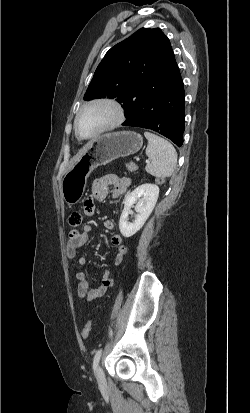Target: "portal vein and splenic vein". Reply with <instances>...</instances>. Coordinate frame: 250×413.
<instances>
[{"label":"portal vein and splenic vein","instance_id":"18ae733b","mask_svg":"<svg viewBox=\"0 0 250 413\" xmlns=\"http://www.w3.org/2000/svg\"><path fill=\"white\" fill-rule=\"evenodd\" d=\"M136 160H139V158L137 157ZM149 162H150L149 160H146V163H149Z\"/></svg>","mask_w":250,"mask_h":413}]
</instances>
